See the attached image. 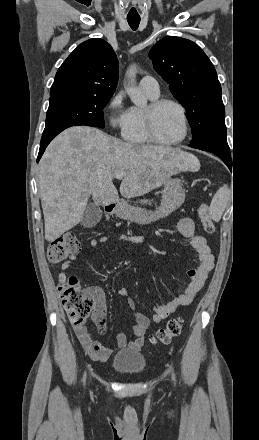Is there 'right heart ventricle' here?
<instances>
[{"instance_id":"1","label":"right heart ventricle","mask_w":259,"mask_h":440,"mask_svg":"<svg viewBox=\"0 0 259 440\" xmlns=\"http://www.w3.org/2000/svg\"><path fill=\"white\" fill-rule=\"evenodd\" d=\"M148 95V94H147ZM151 100L158 98L148 95ZM123 138L135 145H147L151 143L149 139L144 121V110L138 107H131L129 109V123L123 132Z\"/></svg>"}]
</instances>
